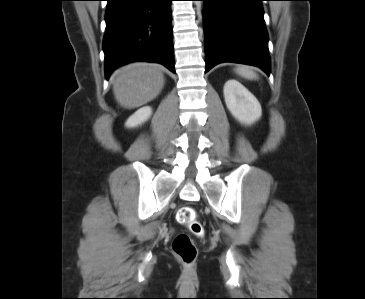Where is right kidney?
<instances>
[{
    "instance_id": "right-kidney-1",
    "label": "right kidney",
    "mask_w": 365,
    "mask_h": 299,
    "mask_svg": "<svg viewBox=\"0 0 365 299\" xmlns=\"http://www.w3.org/2000/svg\"><path fill=\"white\" fill-rule=\"evenodd\" d=\"M151 115L152 108L150 106L142 107L127 119L125 126L127 128L137 127L146 122L151 117Z\"/></svg>"
}]
</instances>
